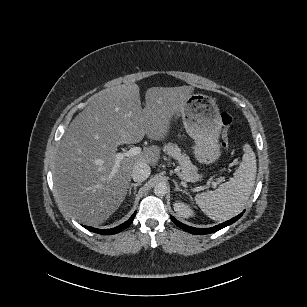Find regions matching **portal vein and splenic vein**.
<instances>
[{"label": "portal vein and splenic vein", "instance_id": "portal-vein-and-splenic-vein-1", "mask_svg": "<svg viewBox=\"0 0 307 307\" xmlns=\"http://www.w3.org/2000/svg\"><path fill=\"white\" fill-rule=\"evenodd\" d=\"M141 150H142L141 147H132L128 151H126L125 153H117L116 154L117 161L114 165L112 172L109 175V179H111L113 177V175L116 173L117 168L119 167L120 160H122L124 157L136 156V155L141 153ZM207 185H210V182H207ZM211 185H212L213 188H216L217 183L213 181V182H211ZM204 189H205V186L197 187L198 191L204 190Z\"/></svg>", "mask_w": 307, "mask_h": 307}]
</instances>
